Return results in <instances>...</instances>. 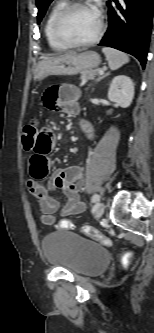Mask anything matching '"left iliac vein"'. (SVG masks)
Here are the masks:
<instances>
[{"label":"left iliac vein","instance_id":"obj_1","mask_svg":"<svg viewBox=\"0 0 154 333\" xmlns=\"http://www.w3.org/2000/svg\"><path fill=\"white\" fill-rule=\"evenodd\" d=\"M105 210V205L103 203H98L95 209V217L97 219L101 218Z\"/></svg>","mask_w":154,"mask_h":333}]
</instances>
